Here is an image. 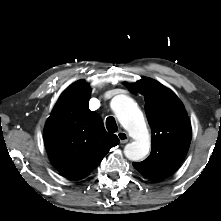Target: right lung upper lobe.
<instances>
[{
    "label": "right lung upper lobe",
    "mask_w": 221,
    "mask_h": 221,
    "mask_svg": "<svg viewBox=\"0 0 221 221\" xmlns=\"http://www.w3.org/2000/svg\"><path fill=\"white\" fill-rule=\"evenodd\" d=\"M91 90L84 80L70 85L58 99L44 127L45 146L54 167L65 177H86L119 143L101 117L90 111Z\"/></svg>",
    "instance_id": "cb5924a9"
}]
</instances>
